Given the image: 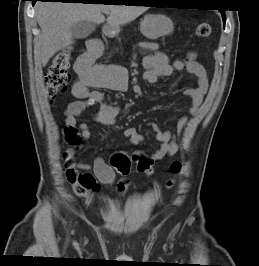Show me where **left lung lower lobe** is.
Instances as JSON below:
<instances>
[{
  "mask_svg": "<svg viewBox=\"0 0 259 266\" xmlns=\"http://www.w3.org/2000/svg\"><path fill=\"white\" fill-rule=\"evenodd\" d=\"M220 11H221V13H222L223 22H224V25H225L226 18H225V15H224V10H220Z\"/></svg>",
  "mask_w": 259,
  "mask_h": 266,
  "instance_id": "1",
  "label": "left lung lower lobe"
}]
</instances>
